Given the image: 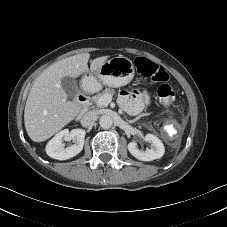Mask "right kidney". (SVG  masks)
Here are the masks:
<instances>
[{
    "label": "right kidney",
    "instance_id": "right-kidney-1",
    "mask_svg": "<svg viewBox=\"0 0 227 227\" xmlns=\"http://www.w3.org/2000/svg\"><path fill=\"white\" fill-rule=\"evenodd\" d=\"M85 134L86 132L83 129L60 131L46 145L47 155L57 160H66L76 156L83 149ZM64 140H73L75 144L64 148Z\"/></svg>",
    "mask_w": 227,
    "mask_h": 227
}]
</instances>
